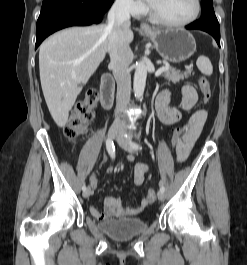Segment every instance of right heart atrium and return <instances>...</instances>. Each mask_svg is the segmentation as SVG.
<instances>
[{
	"mask_svg": "<svg viewBox=\"0 0 247 265\" xmlns=\"http://www.w3.org/2000/svg\"><path fill=\"white\" fill-rule=\"evenodd\" d=\"M120 10L131 15H139L144 11L143 6L137 0H116Z\"/></svg>",
	"mask_w": 247,
	"mask_h": 265,
	"instance_id": "obj_1",
	"label": "right heart atrium"
}]
</instances>
